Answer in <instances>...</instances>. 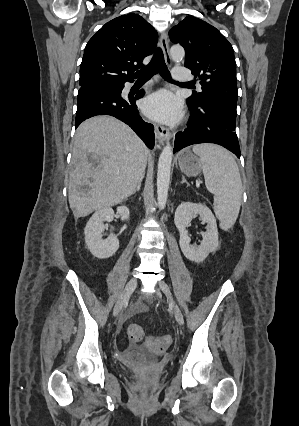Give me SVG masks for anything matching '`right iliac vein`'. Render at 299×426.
Instances as JSON below:
<instances>
[{"mask_svg":"<svg viewBox=\"0 0 299 426\" xmlns=\"http://www.w3.org/2000/svg\"><path fill=\"white\" fill-rule=\"evenodd\" d=\"M136 287H137V280L135 278H132L127 282L122 294L120 295L119 299L117 300L115 304V307L113 310L114 316H117L118 313L122 310L123 306L127 303V301L129 300L130 296L132 295Z\"/></svg>","mask_w":299,"mask_h":426,"instance_id":"right-iliac-vein-1","label":"right iliac vein"}]
</instances>
